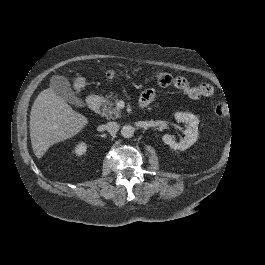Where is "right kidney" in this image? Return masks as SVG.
Returning <instances> with one entry per match:
<instances>
[{"mask_svg": "<svg viewBox=\"0 0 265 265\" xmlns=\"http://www.w3.org/2000/svg\"><path fill=\"white\" fill-rule=\"evenodd\" d=\"M87 145L84 142H80L75 147V154L81 156L86 153Z\"/></svg>", "mask_w": 265, "mask_h": 265, "instance_id": "obj_1", "label": "right kidney"}]
</instances>
